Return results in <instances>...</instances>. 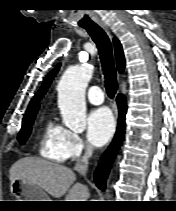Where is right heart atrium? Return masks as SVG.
<instances>
[{"label":"right heart atrium","instance_id":"d8ad5b80","mask_svg":"<svg viewBox=\"0 0 176 211\" xmlns=\"http://www.w3.org/2000/svg\"><path fill=\"white\" fill-rule=\"evenodd\" d=\"M88 151L83 138L72 131H67L65 138V156L69 159L82 157Z\"/></svg>","mask_w":176,"mask_h":211}]
</instances>
